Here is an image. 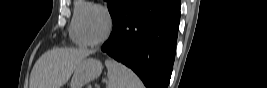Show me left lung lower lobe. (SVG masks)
I'll use <instances>...</instances> for the list:
<instances>
[{"label":"left lung lower lobe","instance_id":"obj_1","mask_svg":"<svg viewBox=\"0 0 267 88\" xmlns=\"http://www.w3.org/2000/svg\"><path fill=\"white\" fill-rule=\"evenodd\" d=\"M179 20V0H130L101 50L131 68L147 88H166Z\"/></svg>","mask_w":267,"mask_h":88}]
</instances>
